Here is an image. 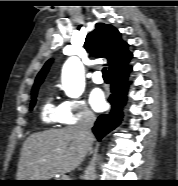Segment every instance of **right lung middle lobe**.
<instances>
[{"label":"right lung middle lobe","mask_w":178,"mask_h":186,"mask_svg":"<svg viewBox=\"0 0 178 186\" xmlns=\"http://www.w3.org/2000/svg\"><path fill=\"white\" fill-rule=\"evenodd\" d=\"M36 93L37 92L32 94V101H31L30 109H32L36 103Z\"/></svg>","instance_id":"obj_1"}]
</instances>
